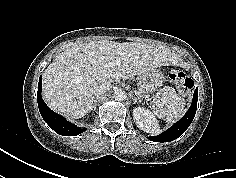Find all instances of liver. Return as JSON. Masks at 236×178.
Segmentation results:
<instances>
[{"label":"liver","mask_w":236,"mask_h":178,"mask_svg":"<svg viewBox=\"0 0 236 178\" xmlns=\"http://www.w3.org/2000/svg\"><path fill=\"white\" fill-rule=\"evenodd\" d=\"M117 57L122 58L120 65L106 67ZM179 61L170 49L154 44L109 40L75 44L58 54L43 72V99L52 110L81 118L92 110L97 85Z\"/></svg>","instance_id":"6515ba94"}]
</instances>
